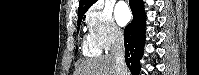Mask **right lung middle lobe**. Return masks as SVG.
<instances>
[{
    "label": "right lung middle lobe",
    "instance_id": "obj_1",
    "mask_svg": "<svg viewBox=\"0 0 199 75\" xmlns=\"http://www.w3.org/2000/svg\"><path fill=\"white\" fill-rule=\"evenodd\" d=\"M82 19H84L83 16H78V22H77L78 28H77V31H79V27H80ZM76 52H77V49H76Z\"/></svg>",
    "mask_w": 199,
    "mask_h": 75
}]
</instances>
